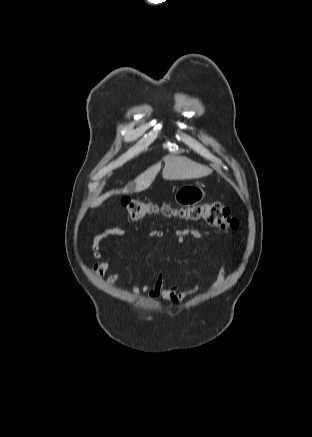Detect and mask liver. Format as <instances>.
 I'll list each match as a JSON object with an SVG mask.
<instances>
[{"label": "liver", "mask_w": 312, "mask_h": 437, "mask_svg": "<svg viewBox=\"0 0 312 437\" xmlns=\"http://www.w3.org/2000/svg\"><path fill=\"white\" fill-rule=\"evenodd\" d=\"M165 166L162 176L165 180H188L208 176L212 173L209 167L198 164L184 156H165L163 158ZM161 169V164L157 163L149 167L145 172L135 179V185L125 186L120 190H112L98 197L92 207L101 205L108 197L113 194L129 193L131 191L141 192L150 187L156 175Z\"/></svg>", "instance_id": "6515ba94"}]
</instances>
